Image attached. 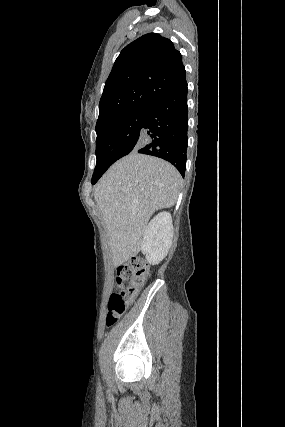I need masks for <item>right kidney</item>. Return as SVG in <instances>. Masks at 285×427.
<instances>
[{
    "label": "right kidney",
    "instance_id": "1",
    "mask_svg": "<svg viewBox=\"0 0 285 427\" xmlns=\"http://www.w3.org/2000/svg\"><path fill=\"white\" fill-rule=\"evenodd\" d=\"M173 239L172 217L169 212L157 214L148 224L141 243L147 261L158 264L167 255Z\"/></svg>",
    "mask_w": 285,
    "mask_h": 427
}]
</instances>
